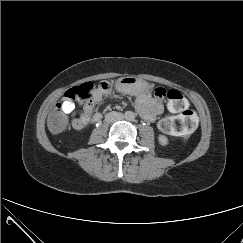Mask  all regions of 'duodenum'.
I'll return each instance as SVG.
<instances>
[{"instance_id": "1", "label": "duodenum", "mask_w": 243, "mask_h": 243, "mask_svg": "<svg viewBox=\"0 0 243 243\" xmlns=\"http://www.w3.org/2000/svg\"><path fill=\"white\" fill-rule=\"evenodd\" d=\"M100 118H101V115H100L99 113H96V114H94V116H93V121H94V122H97V121L100 120Z\"/></svg>"}]
</instances>
